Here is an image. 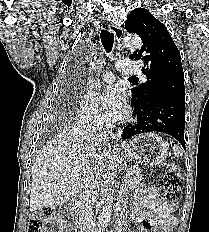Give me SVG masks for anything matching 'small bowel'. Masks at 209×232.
<instances>
[{"instance_id":"obj_1","label":"small bowel","mask_w":209,"mask_h":232,"mask_svg":"<svg viewBox=\"0 0 209 232\" xmlns=\"http://www.w3.org/2000/svg\"><path fill=\"white\" fill-rule=\"evenodd\" d=\"M132 218L141 223L137 232L159 228V232H173L177 223L168 205L160 198L156 186H149L135 193L132 199Z\"/></svg>"}]
</instances>
